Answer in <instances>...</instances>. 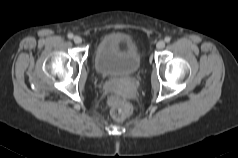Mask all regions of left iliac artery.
I'll use <instances>...</instances> for the list:
<instances>
[{"label": "left iliac artery", "mask_w": 238, "mask_h": 158, "mask_svg": "<svg viewBox=\"0 0 238 158\" xmlns=\"http://www.w3.org/2000/svg\"><path fill=\"white\" fill-rule=\"evenodd\" d=\"M171 41V38L169 36L165 37V42H170Z\"/></svg>", "instance_id": "1"}]
</instances>
